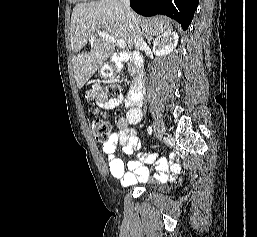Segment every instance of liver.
Listing matches in <instances>:
<instances>
[{
    "label": "liver",
    "mask_w": 257,
    "mask_h": 237,
    "mask_svg": "<svg viewBox=\"0 0 257 237\" xmlns=\"http://www.w3.org/2000/svg\"><path fill=\"white\" fill-rule=\"evenodd\" d=\"M136 24H131L119 0H100L75 5L71 15L70 40L73 52V70L79 89L96 73L113 54L114 43L96 34L104 31L117 40H123L129 49L135 46L138 33L142 38L159 36L171 31L169 19L158 16L144 18L133 13ZM95 35V42L90 38ZM90 43V49L86 51Z\"/></svg>",
    "instance_id": "6515ba94"
}]
</instances>
